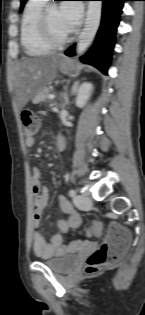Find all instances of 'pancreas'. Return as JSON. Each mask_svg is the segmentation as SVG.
<instances>
[{
    "label": "pancreas",
    "instance_id": "obj_1",
    "mask_svg": "<svg viewBox=\"0 0 145 315\" xmlns=\"http://www.w3.org/2000/svg\"><path fill=\"white\" fill-rule=\"evenodd\" d=\"M49 92H50V88L42 89V91L38 94L37 98L42 101H47Z\"/></svg>",
    "mask_w": 145,
    "mask_h": 315
}]
</instances>
